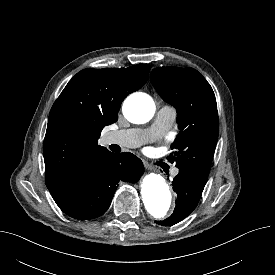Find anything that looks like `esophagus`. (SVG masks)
Masks as SVG:
<instances>
[{
    "instance_id": "1",
    "label": "esophagus",
    "mask_w": 275,
    "mask_h": 275,
    "mask_svg": "<svg viewBox=\"0 0 275 275\" xmlns=\"http://www.w3.org/2000/svg\"><path fill=\"white\" fill-rule=\"evenodd\" d=\"M145 167H146V169H148L150 171L154 170V167L149 164H145Z\"/></svg>"
}]
</instances>
